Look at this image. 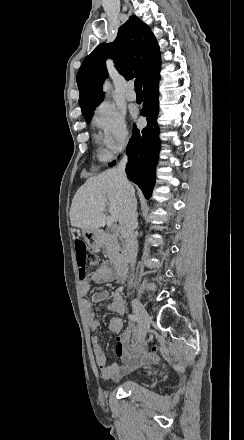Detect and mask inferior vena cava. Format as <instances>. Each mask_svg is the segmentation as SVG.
Here are the masks:
<instances>
[{"instance_id":"inferior-vena-cava-1","label":"inferior vena cava","mask_w":244,"mask_h":440,"mask_svg":"<svg viewBox=\"0 0 244 440\" xmlns=\"http://www.w3.org/2000/svg\"><path fill=\"white\" fill-rule=\"evenodd\" d=\"M128 162L127 156H123L116 172L119 182L124 188L123 192V206L119 218V232L126 242V250L129 254L131 266L136 262L138 252L137 240L134 236V230L137 228V214H136V198L134 188L128 182L125 174L126 164ZM132 282V280H130Z\"/></svg>"}]
</instances>
